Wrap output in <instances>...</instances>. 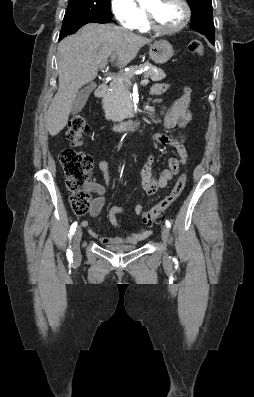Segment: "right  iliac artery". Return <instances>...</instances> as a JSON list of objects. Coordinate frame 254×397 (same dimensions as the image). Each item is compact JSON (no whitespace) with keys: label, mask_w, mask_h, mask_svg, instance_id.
<instances>
[{"label":"right iliac artery","mask_w":254,"mask_h":397,"mask_svg":"<svg viewBox=\"0 0 254 397\" xmlns=\"http://www.w3.org/2000/svg\"><path fill=\"white\" fill-rule=\"evenodd\" d=\"M76 227H77V222H74V223L71 225V228H70V233H69V238H70V239H71V236L74 234V232H75V230H76ZM72 256H73V253H72L71 249L68 248V249H67V258H68L69 261L72 260Z\"/></svg>","instance_id":"obj_1"}]
</instances>
